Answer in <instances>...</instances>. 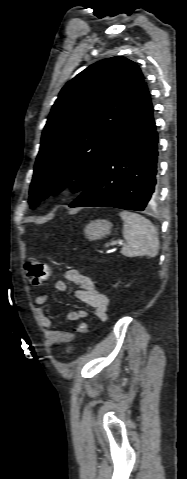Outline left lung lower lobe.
<instances>
[{
  "mask_svg": "<svg viewBox=\"0 0 187 479\" xmlns=\"http://www.w3.org/2000/svg\"><path fill=\"white\" fill-rule=\"evenodd\" d=\"M158 134L143 81L112 149L70 207H115L143 211L157 195Z\"/></svg>",
  "mask_w": 187,
  "mask_h": 479,
  "instance_id": "0a47b994",
  "label": "left lung lower lobe"
}]
</instances>
